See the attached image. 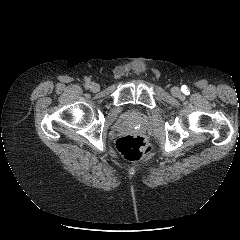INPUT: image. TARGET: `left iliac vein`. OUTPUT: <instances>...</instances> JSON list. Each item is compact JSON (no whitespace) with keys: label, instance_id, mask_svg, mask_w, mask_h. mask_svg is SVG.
Listing matches in <instances>:
<instances>
[{"label":"left iliac vein","instance_id":"obj_1","mask_svg":"<svg viewBox=\"0 0 240 240\" xmlns=\"http://www.w3.org/2000/svg\"><path fill=\"white\" fill-rule=\"evenodd\" d=\"M171 93L175 97H180L181 96V90L178 87H172Z\"/></svg>","mask_w":240,"mask_h":240}]
</instances>
